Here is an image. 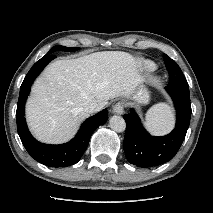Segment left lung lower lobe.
I'll use <instances>...</instances> for the list:
<instances>
[{
  "label": "left lung lower lobe",
  "instance_id": "obj_1",
  "mask_svg": "<svg viewBox=\"0 0 213 213\" xmlns=\"http://www.w3.org/2000/svg\"><path fill=\"white\" fill-rule=\"evenodd\" d=\"M166 90L177 111L176 127L170 134L151 136L142 126L134 109L124 115L127 123L123 141L125 156L138 167H153L169 161L176 155L186 136L191 117L189 90L170 85L166 86Z\"/></svg>",
  "mask_w": 213,
  "mask_h": 213
}]
</instances>
